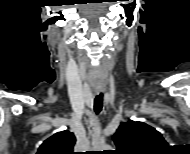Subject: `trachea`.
<instances>
[{"label": "trachea", "mask_w": 190, "mask_h": 154, "mask_svg": "<svg viewBox=\"0 0 190 154\" xmlns=\"http://www.w3.org/2000/svg\"><path fill=\"white\" fill-rule=\"evenodd\" d=\"M102 107H103V94L100 93L96 95L94 99V111L96 112V114H99L101 112Z\"/></svg>", "instance_id": "obj_1"}]
</instances>
